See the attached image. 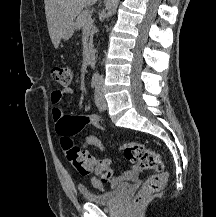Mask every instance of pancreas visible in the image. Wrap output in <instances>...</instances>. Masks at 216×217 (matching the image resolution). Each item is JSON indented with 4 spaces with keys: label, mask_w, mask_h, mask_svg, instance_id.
I'll list each match as a JSON object with an SVG mask.
<instances>
[{
    "label": "pancreas",
    "mask_w": 216,
    "mask_h": 217,
    "mask_svg": "<svg viewBox=\"0 0 216 217\" xmlns=\"http://www.w3.org/2000/svg\"><path fill=\"white\" fill-rule=\"evenodd\" d=\"M75 27L77 29H88L90 34L89 48H92V38L95 32L93 20L91 19L88 10H82L76 18Z\"/></svg>",
    "instance_id": "1"
}]
</instances>
